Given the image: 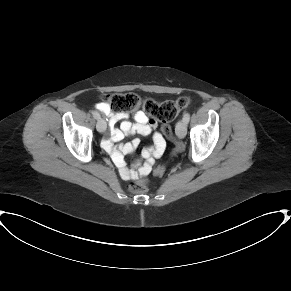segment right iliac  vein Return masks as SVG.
<instances>
[{"label":"right iliac vein","mask_w":291,"mask_h":291,"mask_svg":"<svg viewBox=\"0 0 291 291\" xmlns=\"http://www.w3.org/2000/svg\"><path fill=\"white\" fill-rule=\"evenodd\" d=\"M107 127L106 121L104 119H99L97 124H96V128L100 133L105 132Z\"/></svg>","instance_id":"1"}]
</instances>
